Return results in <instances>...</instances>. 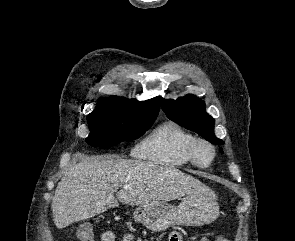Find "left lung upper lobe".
Listing matches in <instances>:
<instances>
[{
	"label": "left lung upper lobe",
	"instance_id": "5c2ea615",
	"mask_svg": "<svg viewBox=\"0 0 295 241\" xmlns=\"http://www.w3.org/2000/svg\"><path fill=\"white\" fill-rule=\"evenodd\" d=\"M160 102L169 119L195 131L211 143L224 144L214 135V119L206 113L205 103L201 99L189 94L177 100L160 98Z\"/></svg>",
	"mask_w": 295,
	"mask_h": 241
}]
</instances>
